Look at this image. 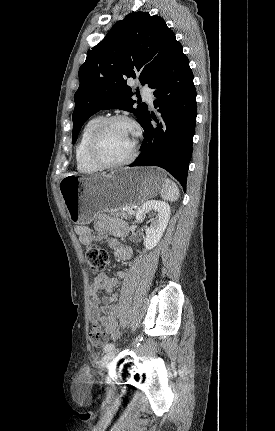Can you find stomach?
<instances>
[{"mask_svg":"<svg viewBox=\"0 0 275 431\" xmlns=\"http://www.w3.org/2000/svg\"><path fill=\"white\" fill-rule=\"evenodd\" d=\"M164 182L161 169L136 167L92 177L66 175L59 190L70 220L83 226L99 211L115 213L123 207L144 202L160 192Z\"/></svg>","mask_w":275,"mask_h":431,"instance_id":"0dacf381","label":"stomach"}]
</instances>
